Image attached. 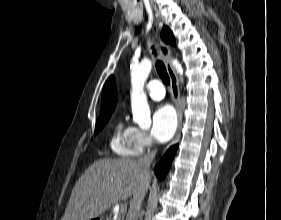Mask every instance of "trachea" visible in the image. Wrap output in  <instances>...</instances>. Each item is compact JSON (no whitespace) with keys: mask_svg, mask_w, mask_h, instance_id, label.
I'll return each instance as SVG.
<instances>
[{"mask_svg":"<svg viewBox=\"0 0 281 220\" xmlns=\"http://www.w3.org/2000/svg\"><path fill=\"white\" fill-rule=\"evenodd\" d=\"M154 54H156L155 51H154ZM155 66H156L157 73L159 74L163 83H165L166 85L170 84V78H169V75L167 73L164 63L162 61L158 60V61H156Z\"/></svg>","mask_w":281,"mask_h":220,"instance_id":"trachea-1","label":"trachea"}]
</instances>
